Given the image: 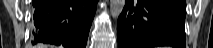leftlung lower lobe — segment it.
<instances>
[{
	"label": "left lung lower lobe",
	"instance_id": "1",
	"mask_svg": "<svg viewBox=\"0 0 213 48\" xmlns=\"http://www.w3.org/2000/svg\"><path fill=\"white\" fill-rule=\"evenodd\" d=\"M185 0H126L117 22L118 48H186Z\"/></svg>",
	"mask_w": 213,
	"mask_h": 48
}]
</instances>
